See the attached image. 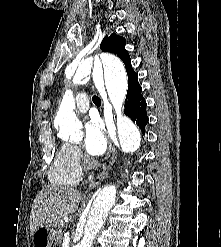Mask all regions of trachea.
I'll return each mask as SVG.
<instances>
[{
	"instance_id": "trachea-1",
	"label": "trachea",
	"mask_w": 221,
	"mask_h": 247,
	"mask_svg": "<svg viewBox=\"0 0 221 247\" xmlns=\"http://www.w3.org/2000/svg\"><path fill=\"white\" fill-rule=\"evenodd\" d=\"M92 101H93L94 104L97 105V106H100V104H101L100 98H99L98 96H96V95H94V96L92 97Z\"/></svg>"
}]
</instances>
